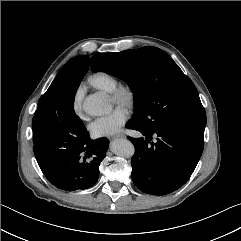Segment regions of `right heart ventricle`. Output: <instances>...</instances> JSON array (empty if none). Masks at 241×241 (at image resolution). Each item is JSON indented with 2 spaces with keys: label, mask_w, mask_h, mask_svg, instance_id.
<instances>
[{
  "label": "right heart ventricle",
  "mask_w": 241,
  "mask_h": 241,
  "mask_svg": "<svg viewBox=\"0 0 241 241\" xmlns=\"http://www.w3.org/2000/svg\"><path fill=\"white\" fill-rule=\"evenodd\" d=\"M88 81L94 88L106 93H111L119 84L116 76L105 71L93 73Z\"/></svg>",
  "instance_id": "right-heart-ventricle-1"
}]
</instances>
